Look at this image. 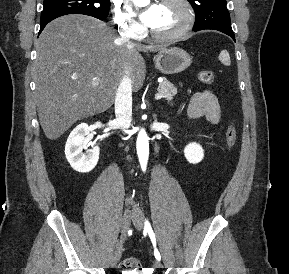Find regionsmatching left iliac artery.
<instances>
[{
    "label": "left iliac artery",
    "instance_id": "44dca946",
    "mask_svg": "<svg viewBox=\"0 0 289 274\" xmlns=\"http://www.w3.org/2000/svg\"><path fill=\"white\" fill-rule=\"evenodd\" d=\"M144 231H145L146 233H148V235H149V237H150V239H151V242H152L153 247H154V255H155V258L160 261V260H161V255H160L158 249L156 248V238H155V234H154V232H153V230H152V227H151V225H150V223H149L148 220L145 221Z\"/></svg>",
    "mask_w": 289,
    "mask_h": 274
}]
</instances>
